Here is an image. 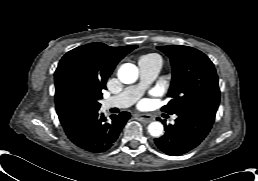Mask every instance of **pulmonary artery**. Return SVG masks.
<instances>
[{
    "label": "pulmonary artery",
    "instance_id": "pulmonary-artery-1",
    "mask_svg": "<svg viewBox=\"0 0 258 181\" xmlns=\"http://www.w3.org/2000/svg\"><path fill=\"white\" fill-rule=\"evenodd\" d=\"M162 66L160 58L139 62L141 79L136 85L127 87L121 93L109 97L102 102L104 109L126 108L134 104L158 76ZM173 119H176L174 116Z\"/></svg>",
    "mask_w": 258,
    "mask_h": 181
}]
</instances>
